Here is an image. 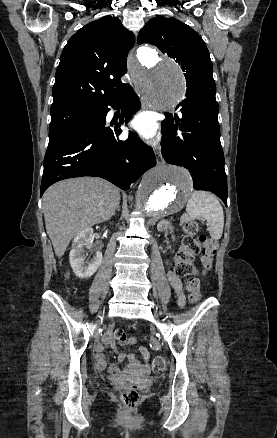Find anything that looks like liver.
Masks as SVG:
<instances>
[{"label":"liver","mask_w":277,"mask_h":438,"mask_svg":"<svg viewBox=\"0 0 277 438\" xmlns=\"http://www.w3.org/2000/svg\"><path fill=\"white\" fill-rule=\"evenodd\" d=\"M120 198L118 188L101 178H72L48 188L44 218L56 256L62 258L78 232L110 220Z\"/></svg>","instance_id":"liver-1"}]
</instances>
